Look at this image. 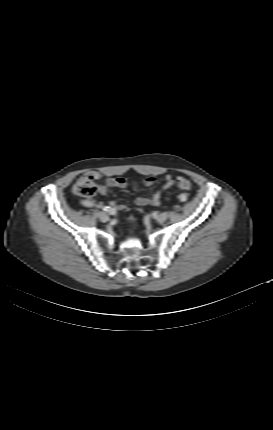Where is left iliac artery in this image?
Segmentation results:
<instances>
[{"mask_svg":"<svg viewBox=\"0 0 273 430\" xmlns=\"http://www.w3.org/2000/svg\"><path fill=\"white\" fill-rule=\"evenodd\" d=\"M187 200H188V197H187L185 194H181V195L179 196V201H180L181 203H185Z\"/></svg>","mask_w":273,"mask_h":430,"instance_id":"44dca946","label":"left iliac artery"}]
</instances>
